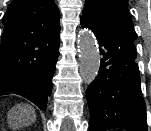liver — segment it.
<instances>
[{"label": "liver", "mask_w": 151, "mask_h": 131, "mask_svg": "<svg viewBox=\"0 0 151 131\" xmlns=\"http://www.w3.org/2000/svg\"><path fill=\"white\" fill-rule=\"evenodd\" d=\"M28 118H27V121H26V124H30L32 122H34V120L36 119V114H35V111L33 108H29L28 109V114H27Z\"/></svg>", "instance_id": "liver-1"}]
</instances>
